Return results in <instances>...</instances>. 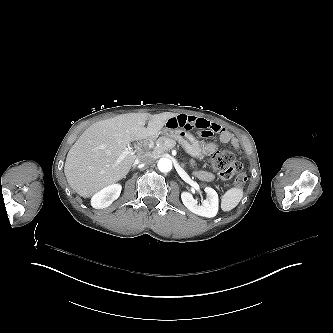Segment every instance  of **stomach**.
<instances>
[{"label":"stomach","instance_id":"0dacf381","mask_svg":"<svg viewBox=\"0 0 333 333\" xmlns=\"http://www.w3.org/2000/svg\"><path fill=\"white\" fill-rule=\"evenodd\" d=\"M166 136H172L181 141L187 152L195 158L203 159L207 152L202 143L192 136L188 131L182 132L177 128L166 127L162 131Z\"/></svg>","mask_w":333,"mask_h":333}]
</instances>
